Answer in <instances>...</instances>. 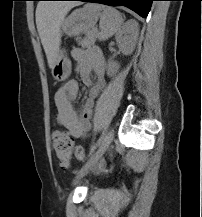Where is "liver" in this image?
I'll return each mask as SVG.
<instances>
[{
  "mask_svg": "<svg viewBox=\"0 0 202 217\" xmlns=\"http://www.w3.org/2000/svg\"><path fill=\"white\" fill-rule=\"evenodd\" d=\"M76 5L62 2H41L37 5L36 25L51 69L59 53L61 24L67 13Z\"/></svg>",
  "mask_w": 202,
  "mask_h": 217,
  "instance_id": "6515ba94",
  "label": "liver"
}]
</instances>
